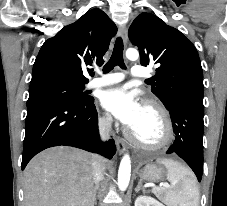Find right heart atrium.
<instances>
[{
  "mask_svg": "<svg viewBox=\"0 0 227 206\" xmlns=\"http://www.w3.org/2000/svg\"><path fill=\"white\" fill-rule=\"evenodd\" d=\"M98 123L101 128L106 129L111 124V118L108 114H101L98 117Z\"/></svg>",
  "mask_w": 227,
  "mask_h": 206,
  "instance_id": "obj_1",
  "label": "right heart atrium"
}]
</instances>
